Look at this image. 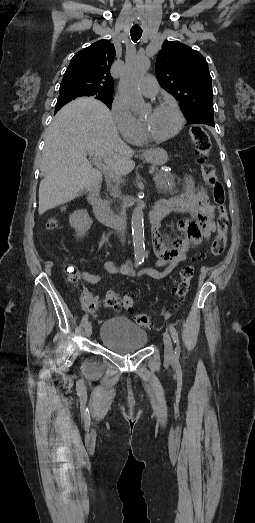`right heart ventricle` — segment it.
Masks as SVG:
<instances>
[{"label":"right heart ventricle","instance_id":"right-heart-ventricle-1","mask_svg":"<svg viewBox=\"0 0 255 523\" xmlns=\"http://www.w3.org/2000/svg\"><path fill=\"white\" fill-rule=\"evenodd\" d=\"M133 140H134L135 142H139V140H140V136H139V133H138V132H137V134L133 137Z\"/></svg>","mask_w":255,"mask_h":523}]
</instances>
